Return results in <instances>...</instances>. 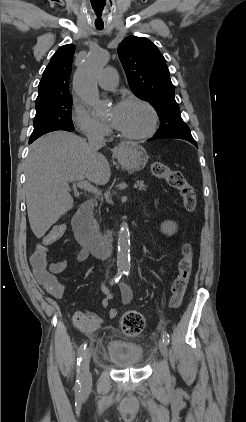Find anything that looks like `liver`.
I'll return each instance as SVG.
<instances>
[{"mask_svg": "<svg viewBox=\"0 0 246 422\" xmlns=\"http://www.w3.org/2000/svg\"><path fill=\"white\" fill-rule=\"evenodd\" d=\"M26 202L30 227L41 238L73 206L68 184L88 179L108 183L111 171L104 155L81 137L55 131L40 137L26 159Z\"/></svg>", "mask_w": 246, "mask_h": 422, "instance_id": "obj_1", "label": "liver"}]
</instances>
